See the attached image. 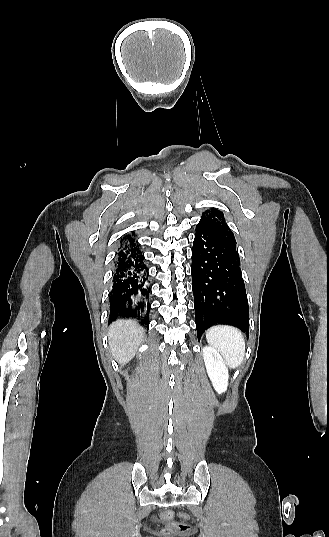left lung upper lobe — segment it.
Segmentation results:
<instances>
[{
	"instance_id": "left-lung-upper-lobe-1",
	"label": "left lung upper lobe",
	"mask_w": 329,
	"mask_h": 537,
	"mask_svg": "<svg viewBox=\"0 0 329 537\" xmlns=\"http://www.w3.org/2000/svg\"><path fill=\"white\" fill-rule=\"evenodd\" d=\"M200 221L236 242L233 232L225 222L223 213L218 209L212 208L211 211L207 210L203 212Z\"/></svg>"
}]
</instances>
